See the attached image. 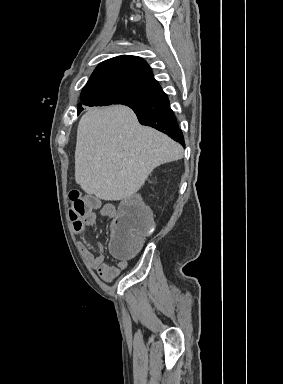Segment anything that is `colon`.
Masks as SVG:
<instances>
[{
    "label": "colon",
    "instance_id": "colon-1",
    "mask_svg": "<svg viewBox=\"0 0 283 384\" xmlns=\"http://www.w3.org/2000/svg\"><path fill=\"white\" fill-rule=\"evenodd\" d=\"M70 219L80 225L84 216L99 205L91 196L83 197L79 191L69 194ZM153 219L149 209L136 196L125 199L113 218L110 229V251L119 259H129L139 250L144 236L152 232Z\"/></svg>",
    "mask_w": 283,
    "mask_h": 384
}]
</instances>
